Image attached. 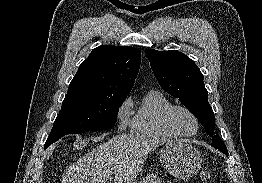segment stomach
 I'll return each instance as SVG.
<instances>
[{
    "label": "stomach",
    "instance_id": "stomach-1",
    "mask_svg": "<svg viewBox=\"0 0 262 183\" xmlns=\"http://www.w3.org/2000/svg\"><path fill=\"white\" fill-rule=\"evenodd\" d=\"M160 162L173 177L186 179L200 170L202 157L191 144L181 140H170L160 150ZM133 183H162V179L155 174H148L143 180Z\"/></svg>",
    "mask_w": 262,
    "mask_h": 183
}]
</instances>
